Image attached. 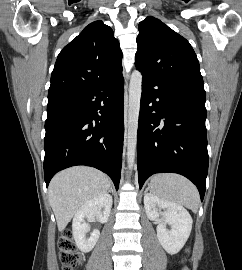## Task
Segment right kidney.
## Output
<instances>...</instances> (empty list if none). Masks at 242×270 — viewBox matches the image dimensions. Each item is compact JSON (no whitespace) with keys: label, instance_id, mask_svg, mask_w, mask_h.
I'll return each instance as SVG.
<instances>
[{"label":"right kidney","instance_id":"ca27d5eb","mask_svg":"<svg viewBox=\"0 0 242 270\" xmlns=\"http://www.w3.org/2000/svg\"><path fill=\"white\" fill-rule=\"evenodd\" d=\"M111 207L112 196L105 193L90 199L76 211L72 222V231L76 245L82 252L91 251L100 236V231L94 229L90 237H86L90 227L85 222V218L88 220L96 218L99 222L105 223L108 221Z\"/></svg>","mask_w":242,"mask_h":270}]
</instances>
